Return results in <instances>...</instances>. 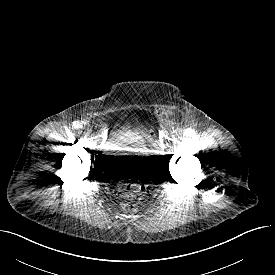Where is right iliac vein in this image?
Listing matches in <instances>:
<instances>
[{
  "instance_id": "63e3f726",
  "label": "right iliac vein",
  "mask_w": 275,
  "mask_h": 275,
  "mask_svg": "<svg viewBox=\"0 0 275 275\" xmlns=\"http://www.w3.org/2000/svg\"><path fill=\"white\" fill-rule=\"evenodd\" d=\"M82 128H83L84 130H89V129H90L89 125H87V124H84V125L82 126Z\"/></svg>"
}]
</instances>
